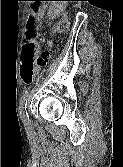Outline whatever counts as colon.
I'll return each instance as SVG.
<instances>
[{"mask_svg": "<svg viewBox=\"0 0 123 167\" xmlns=\"http://www.w3.org/2000/svg\"><path fill=\"white\" fill-rule=\"evenodd\" d=\"M43 4L39 7H33V13L29 15L27 20L26 43L21 53L20 75L24 82L30 83L33 78L34 69L46 63L49 58L48 51L39 52L36 43L37 28L43 17ZM67 27V17L63 16L55 26L57 32H62Z\"/></svg>", "mask_w": 123, "mask_h": 167, "instance_id": "obj_1", "label": "colon"}]
</instances>
